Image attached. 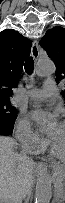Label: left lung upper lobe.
I'll use <instances>...</instances> for the list:
<instances>
[{"instance_id":"5c2ea615","label":"left lung upper lobe","mask_w":65,"mask_h":203,"mask_svg":"<svg viewBox=\"0 0 65 203\" xmlns=\"http://www.w3.org/2000/svg\"><path fill=\"white\" fill-rule=\"evenodd\" d=\"M40 45L56 65V83L65 82V29L54 27L48 30ZM61 94L65 99V91Z\"/></svg>"}]
</instances>
